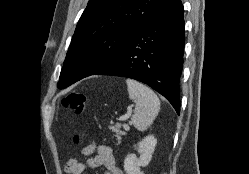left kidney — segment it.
<instances>
[{"label":"left kidney","mask_w":249,"mask_h":174,"mask_svg":"<svg viewBox=\"0 0 249 174\" xmlns=\"http://www.w3.org/2000/svg\"><path fill=\"white\" fill-rule=\"evenodd\" d=\"M156 144L157 139L153 135H149L140 141L137 149L140 157L137 158L135 154H129L124 160L126 174H143L140 166L145 167L149 164Z\"/></svg>","instance_id":"left-kidney-1"}]
</instances>
